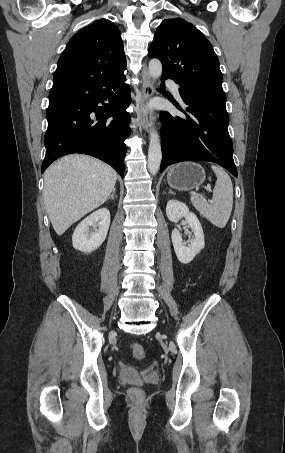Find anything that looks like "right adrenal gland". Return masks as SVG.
<instances>
[{
	"mask_svg": "<svg viewBox=\"0 0 285 453\" xmlns=\"http://www.w3.org/2000/svg\"><path fill=\"white\" fill-rule=\"evenodd\" d=\"M115 191H116V189L114 188L113 191H112V193H111V195L108 197L107 200H109V199L114 200Z\"/></svg>",
	"mask_w": 285,
	"mask_h": 453,
	"instance_id": "obj_1",
	"label": "right adrenal gland"
}]
</instances>
